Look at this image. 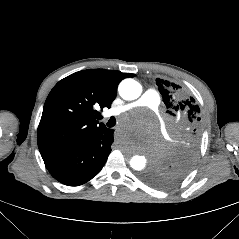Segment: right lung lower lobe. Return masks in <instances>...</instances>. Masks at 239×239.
<instances>
[{
  "mask_svg": "<svg viewBox=\"0 0 239 239\" xmlns=\"http://www.w3.org/2000/svg\"><path fill=\"white\" fill-rule=\"evenodd\" d=\"M112 129L104 128L83 143L43 158L51 175L68 186H79L104 166L114 142Z\"/></svg>",
  "mask_w": 239,
  "mask_h": 239,
  "instance_id": "98d812e1",
  "label": "right lung lower lobe"
}]
</instances>
